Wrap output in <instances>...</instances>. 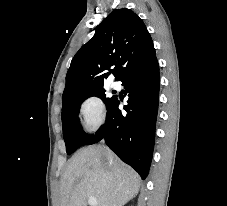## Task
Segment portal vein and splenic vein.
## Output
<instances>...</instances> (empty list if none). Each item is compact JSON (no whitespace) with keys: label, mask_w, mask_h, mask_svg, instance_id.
<instances>
[{"label":"portal vein and splenic vein","mask_w":227,"mask_h":206,"mask_svg":"<svg viewBox=\"0 0 227 206\" xmlns=\"http://www.w3.org/2000/svg\"><path fill=\"white\" fill-rule=\"evenodd\" d=\"M88 203L91 205V206H97V199L93 196H90L88 198Z\"/></svg>","instance_id":"portal-vein-and-splenic-vein-1"}]
</instances>
